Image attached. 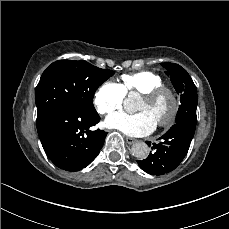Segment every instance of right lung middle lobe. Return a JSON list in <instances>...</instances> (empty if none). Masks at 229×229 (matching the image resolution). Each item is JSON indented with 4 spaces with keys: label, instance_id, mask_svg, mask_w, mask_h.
Listing matches in <instances>:
<instances>
[{
    "label": "right lung middle lobe",
    "instance_id": "1",
    "mask_svg": "<svg viewBox=\"0 0 229 229\" xmlns=\"http://www.w3.org/2000/svg\"><path fill=\"white\" fill-rule=\"evenodd\" d=\"M114 72L100 69L84 60H58L43 72L36 87L37 126L54 111L74 107L97 113L93 97L97 88Z\"/></svg>",
    "mask_w": 229,
    "mask_h": 229
}]
</instances>
